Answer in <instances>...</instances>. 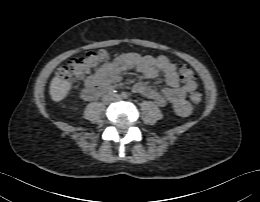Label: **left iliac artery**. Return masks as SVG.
I'll list each match as a JSON object with an SVG mask.
<instances>
[{
  "label": "left iliac artery",
  "mask_w": 260,
  "mask_h": 202,
  "mask_svg": "<svg viewBox=\"0 0 260 202\" xmlns=\"http://www.w3.org/2000/svg\"><path fill=\"white\" fill-rule=\"evenodd\" d=\"M122 96H123L124 98H128L129 94H128L127 92H123V93H122Z\"/></svg>",
  "instance_id": "obj_1"
}]
</instances>
